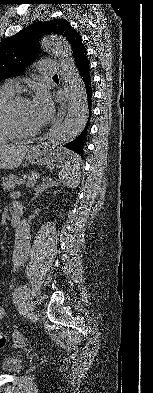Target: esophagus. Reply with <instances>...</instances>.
Segmentation results:
<instances>
[{
    "instance_id": "1",
    "label": "esophagus",
    "mask_w": 153,
    "mask_h": 393,
    "mask_svg": "<svg viewBox=\"0 0 153 393\" xmlns=\"http://www.w3.org/2000/svg\"><path fill=\"white\" fill-rule=\"evenodd\" d=\"M65 108H66L65 105L62 104L61 110H60V112H59L58 118H57V120H56L54 126L59 125V124L62 122V120L64 119V116H65Z\"/></svg>"
}]
</instances>
